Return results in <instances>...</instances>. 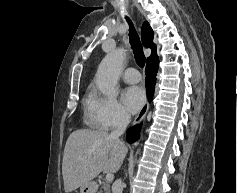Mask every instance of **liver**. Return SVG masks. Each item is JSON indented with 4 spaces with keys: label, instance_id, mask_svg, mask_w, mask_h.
<instances>
[{
    "label": "liver",
    "instance_id": "obj_1",
    "mask_svg": "<svg viewBox=\"0 0 237 193\" xmlns=\"http://www.w3.org/2000/svg\"><path fill=\"white\" fill-rule=\"evenodd\" d=\"M123 142L104 131L81 129L67 139L62 162L66 193L91 182L100 172L115 173L127 154Z\"/></svg>",
    "mask_w": 237,
    "mask_h": 193
}]
</instances>
